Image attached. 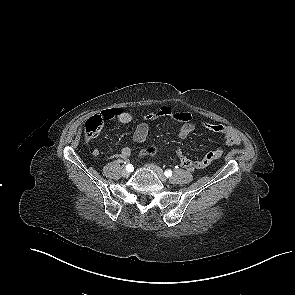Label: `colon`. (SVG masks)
<instances>
[{"mask_svg":"<svg viewBox=\"0 0 295 295\" xmlns=\"http://www.w3.org/2000/svg\"><path fill=\"white\" fill-rule=\"evenodd\" d=\"M103 124V120L98 116L95 115L93 117H91L89 120H87V122L85 123V131H86V136L88 138H92L95 135H97V133L99 132L100 128L102 127ZM156 153L155 148L153 147H148L146 148L143 152L142 155L143 156H152Z\"/></svg>","mask_w":295,"mask_h":295,"instance_id":"colon-1","label":"colon"}]
</instances>
